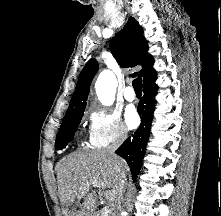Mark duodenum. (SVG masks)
<instances>
[{
	"instance_id": "duodenum-1",
	"label": "duodenum",
	"mask_w": 221,
	"mask_h": 216,
	"mask_svg": "<svg viewBox=\"0 0 221 216\" xmlns=\"http://www.w3.org/2000/svg\"><path fill=\"white\" fill-rule=\"evenodd\" d=\"M93 216H98V213H97V212H96V213H94V214H93Z\"/></svg>"
}]
</instances>
